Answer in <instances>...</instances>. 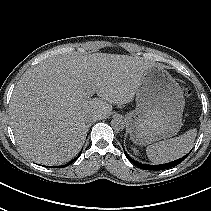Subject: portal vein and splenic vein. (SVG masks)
<instances>
[{"label":"portal vein and splenic vein","instance_id":"portal-vein-and-splenic-vein-1","mask_svg":"<svg viewBox=\"0 0 211 211\" xmlns=\"http://www.w3.org/2000/svg\"><path fill=\"white\" fill-rule=\"evenodd\" d=\"M93 93L94 91L92 90V88L88 87L87 91L84 93V96L86 98H89L90 96H92Z\"/></svg>","mask_w":211,"mask_h":211}]
</instances>
